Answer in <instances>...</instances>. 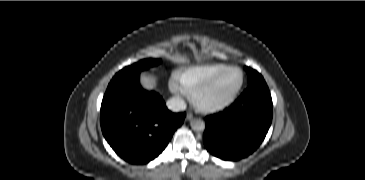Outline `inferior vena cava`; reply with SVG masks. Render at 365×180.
Returning <instances> with one entry per match:
<instances>
[{
    "instance_id": "obj_1",
    "label": "inferior vena cava",
    "mask_w": 365,
    "mask_h": 180,
    "mask_svg": "<svg viewBox=\"0 0 365 180\" xmlns=\"http://www.w3.org/2000/svg\"><path fill=\"white\" fill-rule=\"evenodd\" d=\"M166 105H167L168 109H170L174 112L183 111L186 109L185 101L178 96L170 98L166 102Z\"/></svg>"
}]
</instances>
